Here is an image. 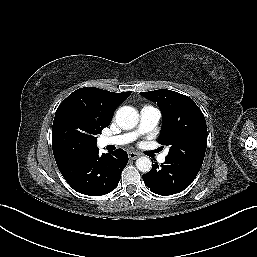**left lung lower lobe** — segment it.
<instances>
[{
    "label": "left lung lower lobe",
    "mask_w": 257,
    "mask_h": 257,
    "mask_svg": "<svg viewBox=\"0 0 257 257\" xmlns=\"http://www.w3.org/2000/svg\"><path fill=\"white\" fill-rule=\"evenodd\" d=\"M200 168L188 160L166 157L160 167L157 163L152 165V169L143 175V180L152 192L167 196L186 189Z\"/></svg>",
    "instance_id": "left-lung-lower-lobe-1"
}]
</instances>
